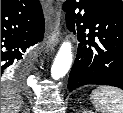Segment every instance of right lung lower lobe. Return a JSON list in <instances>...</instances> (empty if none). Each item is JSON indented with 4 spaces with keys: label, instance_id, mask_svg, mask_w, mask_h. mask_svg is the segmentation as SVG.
<instances>
[{
    "label": "right lung lower lobe",
    "instance_id": "right-lung-lower-lobe-1",
    "mask_svg": "<svg viewBox=\"0 0 123 113\" xmlns=\"http://www.w3.org/2000/svg\"><path fill=\"white\" fill-rule=\"evenodd\" d=\"M44 16L39 0H11L1 5V76L19 68L26 49L41 42Z\"/></svg>",
    "mask_w": 123,
    "mask_h": 113
}]
</instances>
